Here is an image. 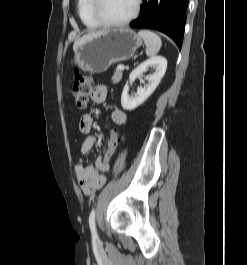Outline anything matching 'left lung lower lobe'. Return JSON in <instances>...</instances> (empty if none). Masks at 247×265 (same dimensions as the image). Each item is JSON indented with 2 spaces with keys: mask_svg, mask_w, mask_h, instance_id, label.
<instances>
[{
  "mask_svg": "<svg viewBox=\"0 0 247 265\" xmlns=\"http://www.w3.org/2000/svg\"><path fill=\"white\" fill-rule=\"evenodd\" d=\"M140 16L130 26L151 28L171 37L181 49L188 0H143Z\"/></svg>",
  "mask_w": 247,
  "mask_h": 265,
  "instance_id": "obj_1",
  "label": "left lung lower lobe"
}]
</instances>
